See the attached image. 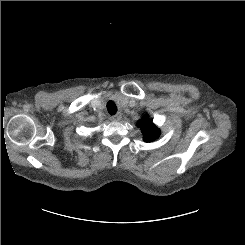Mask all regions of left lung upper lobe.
<instances>
[{
	"instance_id": "1",
	"label": "left lung upper lobe",
	"mask_w": 245,
	"mask_h": 245,
	"mask_svg": "<svg viewBox=\"0 0 245 245\" xmlns=\"http://www.w3.org/2000/svg\"><path fill=\"white\" fill-rule=\"evenodd\" d=\"M138 126L142 130L145 142L154 141L159 137V129L152 123V120H150L148 117L140 119L138 122Z\"/></svg>"
}]
</instances>
